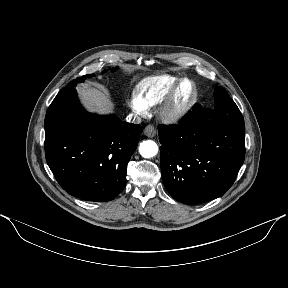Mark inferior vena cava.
I'll list each match as a JSON object with an SVG mask.
<instances>
[{
	"instance_id": "602c4592",
	"label": "inferior vena cava",
	"mask_w": 288,
	"mask_h": 288,
	"mask_svg": "<svg viewBox=\"0 0 288 288\" xmlns=\"http://www.w3.org/2000/svg\"><path fill=\"white\" fill-rule=\"evenodd\" d=\"M126 121L127 122H130V123H136V124H139L141 122V118L135 114H129L127 117H126Z\"/></svg>"
}]
</instances>
